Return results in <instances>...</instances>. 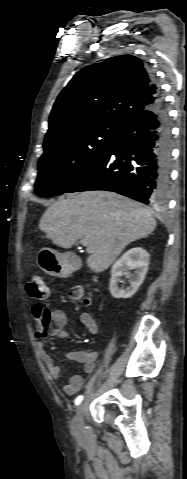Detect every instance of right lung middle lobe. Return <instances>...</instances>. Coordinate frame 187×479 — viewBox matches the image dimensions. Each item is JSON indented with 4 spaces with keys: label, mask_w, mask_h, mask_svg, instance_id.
Masks as SVG:
<instances>
[{
    "label": "right lung middle lobe",
    "mask_w": 187,
    "mask_h": 479,
    "mask_svg": "<svg viewBox=\"0 0 187 479\" xmlns=\"http://www.w3.org/2000/svg\"><path fill=\"white\" fill-rule=\"evenodd\" d=\"M119 130L94 127L45 144L38 162L36 193L44 197L65 193L107 151Z\"/></svg>",
    "instance_id": "1"
}]
</instances>
